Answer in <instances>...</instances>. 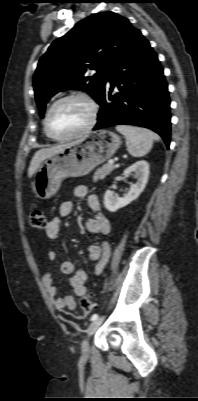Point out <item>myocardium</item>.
Segmentation results:
<instances>
[{
	"label": "myocardium",
	"instance_id": "myocardium-1",
	"mask_svg": "<svg viewBox=\"0 0 198 401\" xmlns=\"http://www.w3.org/2000/svg\"><path fill=\"white\" fill-rule=\"evenodd\" d=\"M73 99H77V100H81L83 102H85L89 108H90V119L89 122L87 123V125L82 128L81 130L68 135V136H64V137H57L55 135L52 134L51 130H50V117L51 114L53 112V110L56 108L57 105H59L60 103L67 101V100H73ZM98 115H99V105L98 103L89 95L84 94V93H71V94H67L64 95L60 98H58L57 100H55L51 106L49 107L47 113H46V117H45V123H44V128H45V132L46 135L51 138L54 141H58V142H65V141H69L72 139H75L77 137H80L86 133H88L89 131H91L94 126L97 123L98 120Z\"/></svg>",
	"mask_w": 198,
	"mask_h": 401
}]
</instances>
